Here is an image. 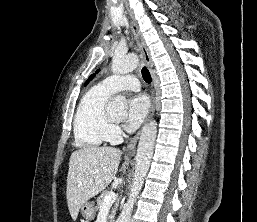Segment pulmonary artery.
Wrapping results in <instances>:
<instances>
[{"mask_svg": "<svg viewBox=\"0 0 257 222\" xmlns=\"http://www.w3.org/2000/svg\"><path fill=\"white\" fill-rule=\"evenodd\" d=\"M99 87L108 92L109 94H113L121 90L138 91L140 89V83L136 77L131 75H115L107 77L106 79L102 80L99 83Z\"/></svg>", "mask_w": 257, "mask_h": 222, "instance_id": "pulmonary-artery-1", "label": "pulmonary artery"}]
</instances>
